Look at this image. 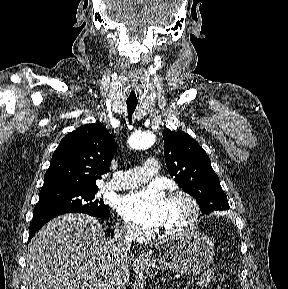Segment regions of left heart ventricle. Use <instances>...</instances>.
<instances>
[{"instance_id": "obj_1", "label": "left heart ventricle", "mask_w": 288, "mask_h": 289, "mask_svg": "<svg viewBox=\"0 0 288 289\" xmlns=\"http://www.w3.org/2000/svg\"><path fill=\"white\" fill-rule=\"evenodd\" d=\"M189 218V209L181 200H168L166 204V218L163 230H176L184 227Z\"/></svg>"}]
</instances>
